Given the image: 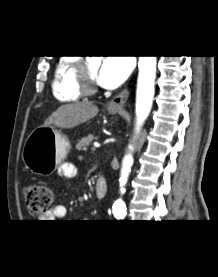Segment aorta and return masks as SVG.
<instances>
[{
	"label": "aorta",
	"mask_w": 218,
	"mask_h": 277,
	"mask_svg": "<svg viewBox=\"0 0 218 277\" xmlns=\"http://www.w3.org/2000/svg\"><path fill=\"white\" fill-rule=\"evenodd\" d=\"M156 56H140L138 61V80L136 90V131L139 132L144 121L148 117L153 103L155 93L156 78ZM133 150L132 146H129ZM133 157L131 153L127 154L122 162V169L119 178L120 191L125 192V184L131 171ZM113 215L120 219L126 215V205L122 199H118L113 204Z\"/></svg>",
	"instance_id": "762f6f07"
}]
</instances>
